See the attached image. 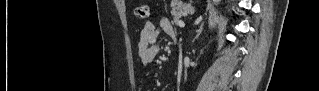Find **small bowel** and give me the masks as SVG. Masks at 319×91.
Wrapping results in <instances>:
<instances>
[{"mask_svg": "<svg viewBox=\"0 0 319 91\" xmlns=\"http://www.w3.org/2000/svg\"><path fill=\"white\" fill-rule=\"evenodd\" d=\"M160 33L174 36V28L168 18H161L157 23L147 22L140 33L138 42V55L141 63L146 67L147 74L149 66L155 62L159 53L157 38ZM173 90H178L175 86Z\"/></svg>", "mask_w": 319, "mask_h": 91, "instance_id": "1", "label": "small bowel"}]
</instances>
